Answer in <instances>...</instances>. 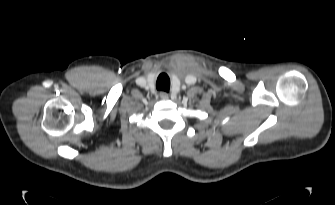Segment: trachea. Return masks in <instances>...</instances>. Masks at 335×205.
Returning <instances> with one entry per match:
<instances>
[{"label": "trachea", "instance_id": "3493384b", "mask_svg": "<svg viewBox=\"0 0 335 205\" xmlns=\"http://www.w3.org/2000/svg\"><path fill=\"white\" fill-rule=\"evenodd\" d=\"M156 87L158 90H163L168 92L169 91V87H170V82L169 79H165L163 77H159L156 83Z\"/></svg>", "mask_w": 335, "mask_h": 205}]
</instances>
